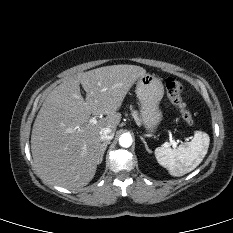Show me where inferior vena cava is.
Here are the masks:
<instances>
[{
	"label": "inferior vena cava",
	"mask_w": 233,
	"mask_h": 233,
	"mask_svg": "<svg viewBox=\"0 0 233 233\" xmlns=\"http://www.w3.org/2000/svg\"><path fill=\"white\" fill-rule=\"evenodd\" d=\"M114 137V131L110 128H103L100 131V139L104 142L110 141Z\"/></svg>",
	"instance_id": "1"
}]
</instances>
